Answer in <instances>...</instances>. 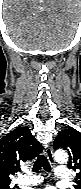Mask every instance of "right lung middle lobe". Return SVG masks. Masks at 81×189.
Returning <instances> with one entry per match:
<instances>
[{
  "mask_svg": "<svg viewBox=\"0 0 81 189\" xmlns=\"http://www.w3.org/2000/svg\"><path fill=\"white\" fill-rule=\"evenodd\" d=\"M0 189H15V187H11L10 184H7V185H2L0 186Z\"/></svg>",
  "mask_w": 81,
  "mask_h": 189,
  "instance_id": "right-lung-middle-lobe-1",
  "label": "right lung middle lobe"
}]
</instances>
